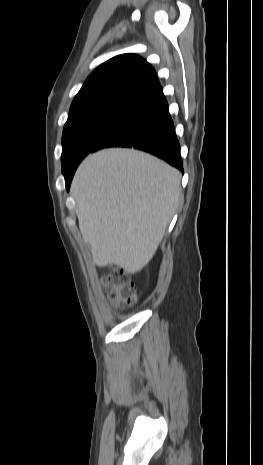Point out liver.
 <instances>
[{"label":"liver","mask_w":263,"mask_h":465,"mask_svg":"<svg viewBox=\"0 0 263 465\" xmlns=\"http://www.w3.org/2000/svg\"><path fill=\"white\" fill-rule=\"evenodd\" d=\"M181 173L134 149L86 157L71 185L76 215L93 261L134 274L154 256L181 195Z\"/></svg>","instance_id":"obj_1"}]
</instances>
